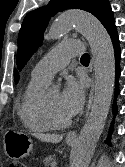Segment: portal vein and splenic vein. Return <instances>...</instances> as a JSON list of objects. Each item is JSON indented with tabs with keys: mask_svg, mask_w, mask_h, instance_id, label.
Listing matches in <instances>:
<instances>
[{
	"mask_svg": "<svg viewBox=\"0 0 125 167\" xmlns=\"http://www.w3.org/2000/svg\"><path fill=\"white\" fill-rule=\"evenodd\" d=\"M56 165H57V162H56V161H53V162L51 163V167H56Z\"/></svg>",
	"mask_w": 125,
	"mask_h": 167,
	"instance_id": "portal-vein-and-splenic-vein-1",
	"label": "portal vein and splenic vein"
}]
</instances>
